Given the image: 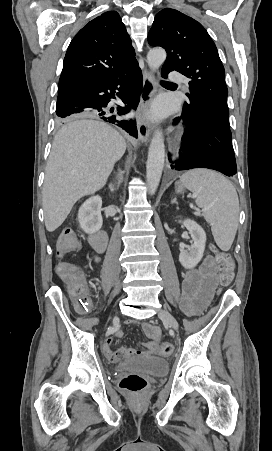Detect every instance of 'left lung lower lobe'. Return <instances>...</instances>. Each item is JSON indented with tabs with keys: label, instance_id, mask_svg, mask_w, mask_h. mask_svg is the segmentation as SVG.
<instances>
[{
	"label": "left lung lower lobe",
	"instance_id": "left-lung-lower-lobe-1",
	"mask_svg": "<svg viewBox=\"0 0 272 451\" xmlns=\"http://www.w3.org/2000/svg\"><path fill=\"white\" fill-rule=\"evenodd\" d=\"M170 71L162 69L161 75L167 78ZM181 121L187 130L182 136L180 158L171 165L172 169L188 170L209 168L227 176L237 172L236 160L228 124L208 113L182 115L174 120Z\"/></svg>",
	"mask_w": 272,
	"mask_h": 451
}]
</instances>
